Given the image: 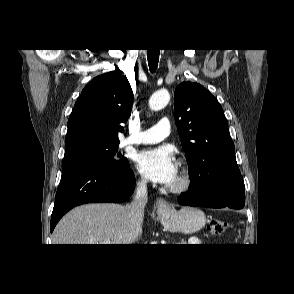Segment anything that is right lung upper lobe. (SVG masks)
<instances>
[{
  "label": "right lung upper lobe",
  "mask_w": 294,
  "mask_h": 294,
  "mask_svg": "<svg viewBox=\"0 0 294 294\" xmlns=\"http://www.w3.org/2000/svg\"><path fill=\"white\" fill-rule=\"evenodd\" d=\"M133 92L125 76L111 71L85 86L68 120L66 144L82 139L119 142L131 115Z\"/></svg>",
  "instance_id": "1"
}]
</instances>
